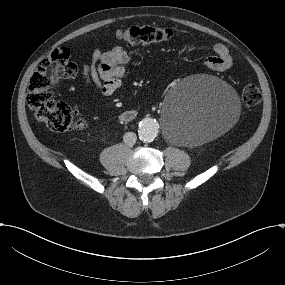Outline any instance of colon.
<instances>
[{
  "instance_id": "1",
  "label": "colon",
  "mask_w": 285,
  "mask_h": 285,
  "mask_svg": "<svg viewBox=\"0 0 285 285\" xmlns=\"http://www.w3.org/2000/svg\"><path fill=\"white\" fill-rule=\"evenodd\" d=\"M174 32L168 27L133 25L116 32V38L127 44H156L168 41ZM77 73V65L70 60V52L58 47L44 59L30 79L27 103L35 119L54 132L82 129L86 125L76 109L62 101H56L51 86L59 81L72 78ZM242 100L247 107L259 104L261 91L254 83L245 85Z\"/></svg>"
}]
</instances>
